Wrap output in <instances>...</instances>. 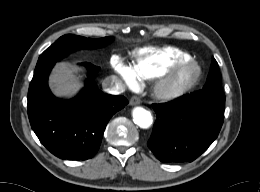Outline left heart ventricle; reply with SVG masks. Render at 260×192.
<instances>
[{
	"label": "left heart ventricle",
	"instance_id": "left-heart-ventricle-1",
	"mask_svg": "<svg viewBox=\"0 0 260 192\" xmlns=\"http://www.w3.org/2000/svg\"><path fill=\"white\" fill-rule=\"evenodd\" d=\"M189 75H190L189 72H185V73H183V74L180 76V79H181V80H182V79H186Z\"/></svg>",
	"mask_w": 260,
	"mask_h": 192
}]
</instances>
